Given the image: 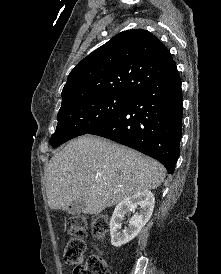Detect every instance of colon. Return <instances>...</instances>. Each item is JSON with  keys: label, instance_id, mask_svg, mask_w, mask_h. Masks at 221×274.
Returning <instances> with one entry per match:
<instances>
[{"label": "colon", "instance_id": "1", "mask_svg": "<svg viewBox=\"0 0 221 274\" xmlns=\"http://www.w3.org/2000/svg\"><path fill=\"white\" fill-rule=\"evenodd\" d=\"M89 219L85 215H75L69 219L68 229L71 238L64 250V260L67 264L75 266L73 274H110L107 262L101 255H91L85 262L84 253ZM93 236L102 240L106 237L109 230V219L106 215L94 216L91 221Z\"/></svg>", "mask_w": 221, "mask_h": 274}]
</instances>
